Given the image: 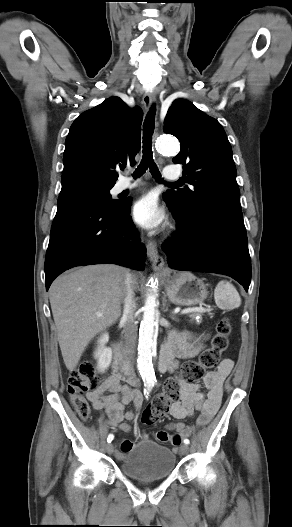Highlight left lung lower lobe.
<instances>
[{"label": "left lung lower lobe", "mask_w": 292, "mask_h": 527, "mask_svg": "<svg viewBox=\"0 0 292 527\" xmlns=\"http://www.w3.org/2000/svg\"><path fill=\"white\" fill-rule=\"evenodd\" d=\"M174 218L178 231L162 245L171 268L224 274L248 291L251 264L241 211L209 209Z\"/></svg>", "instance_id": "left-lung-lower-lobe-1"}]
</instances>
